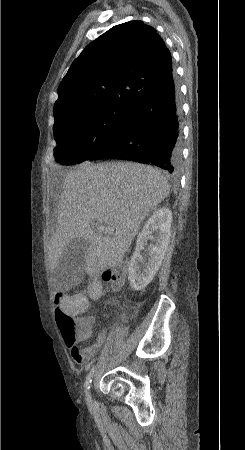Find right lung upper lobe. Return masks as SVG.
Instances as JSON below:
<instances>
[{"mask_svg": "<svg viewBox=\"0 0 245 450\" xmlns=\"http://www.w3.org/2000/svg\"><path fill=\"white\" fill-rule=\"evenodd\" d=\"M156 30L135 20L116 25L73 61L58 88L54 115L104 105L132 107L173 72Z\"/></svg>", "mask_w": 245, "mask_h": 450, "instance_id": "right-lung-upper-lobe-1", "label": "right lung upper lobe"}]
</instances>
